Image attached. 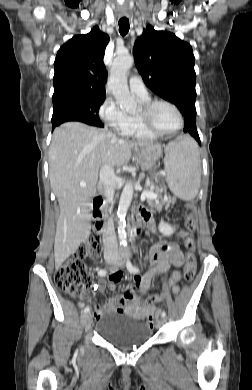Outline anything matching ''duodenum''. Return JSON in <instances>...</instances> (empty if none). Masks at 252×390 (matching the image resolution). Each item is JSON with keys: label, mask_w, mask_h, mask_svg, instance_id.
I'll return each instance as SVG.
<instances>
[{"label": "duodenum", "mask_w": 252, "mask_h": 390, "mask_svg": "<svg viewBox=\"0 0 252 390\" xmlns=\"http://www.w3.org/2000/svg\"><path fill=\"white\" fill-rule=\"evenodd\" d=\"M105 204V196L100 194L96 196L93 201V212L92 215L95 219L94 227L101 233L104 237L106 236L107 221L103 218V206ZM142 207L137 208L133 211L131 215V230L133 237L137 238L140 235L142 227L145 225V222L142 217ZM146 226V225H145Z\"/></svg>", "instance_id": "obj_1"}]
</instances>
